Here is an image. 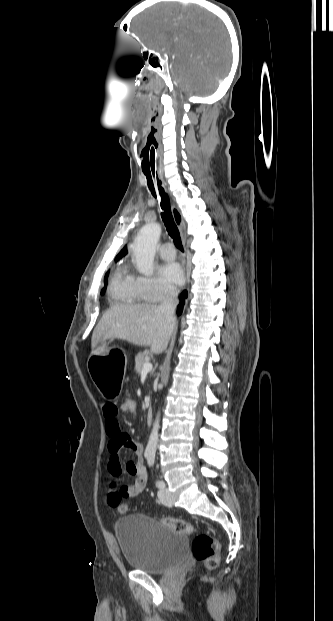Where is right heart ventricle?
Returning <instances> with one entry per match:
<instances>
[{
  "mask_svg": "<svg viewBox=\"0 0 333 621\" xmlns=\"http://www.w3.org/2000/svg\"><path fill=\"white\" fill-rule=\"evenodd\" d=\"M108 294L110 299L117 303H139L143 301L137 289L135 277L124 264L115 270L109 284Z\"/></svg>",
  "mask_w": 333,
  "mask_h": 621,
  "instance_id": "e07e8e85",
  "label": "right heart ventricle"
}]
</instances>
